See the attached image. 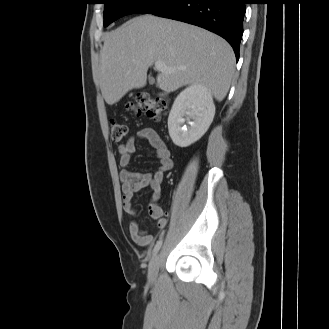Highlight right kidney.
Masks as SVG:
<instances>
[{
	"instance_id": "right-kidney-1",
	"label": "right kidney",
	"mask_w": 329,
	"mask_h": 329,
	"mask_svg": "<svg viewBox=\"0 0 329 329\" xmlns=\"http://www.w3.org/2000/svg\"><path fill=\"white\" fill-rule=\"evenodd\" d=\"M214 115L215 105L207 87L193 84L184 89L176 97L168 117V130L173 143L188 147L199 140L208 130ZM185 121L188 126L184 125Z\"/></svg>"
}]
</instances>
